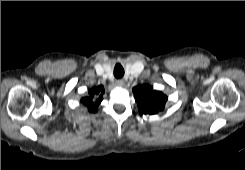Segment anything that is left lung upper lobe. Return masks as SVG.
<instances>
[{"label":"left lung upper lobe","instance_id":"1","mask_svg":"<svg viewBox=\"0 0 245 170\" xmlns=\"http://www.w3.org/2000/svg\"><path fill=\"white\" fill-rule=\"evenodd\" d=\"M133 93L138 102L139 111L142 114H156L162 111L167 101L166 95L162 92L154 91L147 84L134 87Z\"/></svg>","mask_w":245,"mask_h":170}]
</instances>
